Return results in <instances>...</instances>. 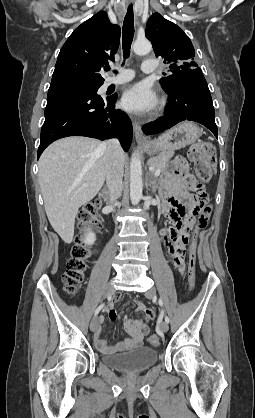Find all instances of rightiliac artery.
Segmentation results:
<instances>
[{
    "instance_id": "82829eb1",
    "label": "right iliac artery",
    "mask_w": 255,
    "mask_h": 418,
    "mask_svg": "<svg viewBox=\"0 0 255 418\" xmlns=\"http://www.w3.org/2000/svg\"><path fill=\"white\" fill-rule=\"evenodd\" d=\"M103 306H104V303L98 306V308H97V309L95 310V312H94V316H97V315H98V313H99V312H100V310L103 308Z\"/></svg>"
}]
</instances>
